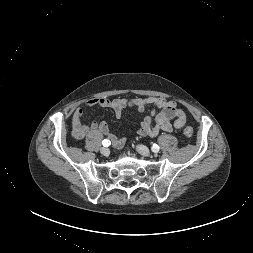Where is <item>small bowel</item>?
Returning a JSON list of instances; mask_svg holds the SVG:
<instances>
[{"label": "small bowel", "instance_id": "small-bowel-1", "mask_svg": "<svg viewBox=\"0 0 253 253\" xmlns=\"http://www.w3.org/2000/svg\"><path fill=\"white\" fill-rule=\"evenodd\" d=\"M88 107L110 108L114 111L117 118H121L127 107L135 108L143 112L147 107H152L151 114L144 117L138 129L140 136L155 137L161 131L171 132L174 128L179 129L186 123L184 111L176 107L172 100L160 97L129 98V99H109L98 97L86 102ZM84 109L78 107L72 117V136L76 140L83 139L88 133L99 130L108 136L116 147H122L125 144V138L114 135L105 122L97 123L92 121L89 124L82 123ZM153 119L155 125H152Z\"/></svg>", "mask_w": 253, "mask_h": 253}]
</instances>
